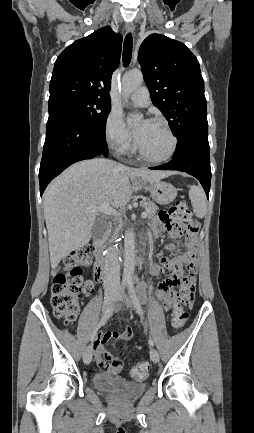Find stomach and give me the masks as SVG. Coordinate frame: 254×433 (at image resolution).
Segmentation results:
<instances>
[{
	"label": "stomach",
	"instance_id": "stomach-1",
	"mask_svg": "<svg viewBox=\"0 0 254 433\" xmlns=\"http://www.w3.org/2000/svg\"><path fill=\"white\" fill-rule=\"evenodd\" d=\"M146 188L154 201L161 205L171 203L177 196V189L172 184L164 181L150 182Z\"/></svg>",
	"mask_w": 254,
	"mask_h": 433
}]
</instances>
